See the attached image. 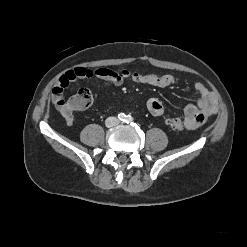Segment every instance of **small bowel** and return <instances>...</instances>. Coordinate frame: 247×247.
I'll use <instances>...</instances> for the list:
<instances>
[{
  "label": "small bowel",
  "instance_id": "c3829d8e",
  "mask_svg": "<svg viewBox=\"0 0 247 247\" xmlns=\"http://www.w3.org/2000/svg\"><path fill=\"white\" fill-rule=\"evenodd\" d=\"M90 78H98L117 87L123 85L126 81L157 87H166L175 82V78L170 74L139 73L130 69L121 71H114L108 68L89 69L84 67L71 69L57 80L52 90V101L67 125H72L74 122V109L70 105V100H64L63 94L72 82ZM194 88L198 94L197 101L186 105L182 116L183 124L187 129L200 127L218 110L217 100L209 88L201 82H196ZM147 108L153 116H160L164 112L162 102L155 97L148 99Z\"/></svg>",
  "mask_w": 247,
  "mask_h": 247
}]
</instances>
